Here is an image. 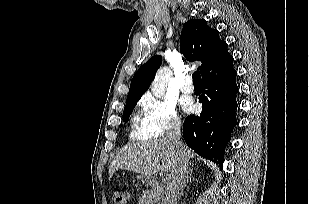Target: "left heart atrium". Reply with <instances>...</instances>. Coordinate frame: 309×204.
I'll return each mask as SVG.
<instances>
[{
  "mask_svg": "<svg viewBox=\"0 0 309 204\" xmlns=\"http://www.w3.org/2000/svg\"><path fill=\"white\" fill-rule=\"evenodd\" d=\"M183 107H184L185 110L190 111L191 108H192V105H191L190 102H184Z\"/></svg>",
  "mask_w": 309,
  "mask_h": 204,
  "instance_id": "1",
  "label": "left heart atrium"
}]
</instances>
